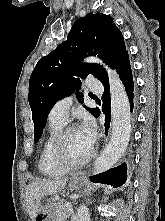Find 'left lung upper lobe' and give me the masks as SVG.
I'll list each match as a JSON object with an SVG mask.
<instances>
[{"label":"left lung upper lobe","mask_w":165,"mask_h":221,"mask_svg":"<svg viewBox=\"0 0 165 221\" xmlns=\"http://www.w3.org/2000/svg\"><path fill=\"white\" fill-rule=\"evenodd\" d=\"M91 55H98L112 69H117L122 59L128 55L123 35L109 15L89 13L76 20L67 40L36 64L30 77L28 95L35 142L42 135L52 107L62 97L78 90L80 78L92 74L101 83L108 79L102 66L80 64L81 59ZM77 98L83 102L82 93L77 92ZM87 110L94 116L97 113V109Z\"/></svg>","instance_id":"5c2ea615"}]
</instances>
